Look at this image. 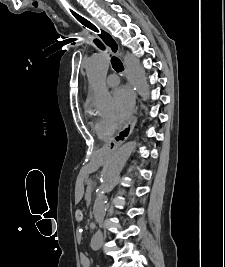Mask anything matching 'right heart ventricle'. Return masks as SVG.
<instances>
[{"instance_id": "right-heart-ventricle-1", "label": "right heart ventricle", "mask_w": 225, "mask_h": 267, "mask_svg": "<svg viewBox=\"0 0 225 267\" xmlns=\"http://www.w3.org/2000/svg\"><path fill=\"white\" fill-rule=\"evenodd\" d=\"M94 128L96 133L102 137V138H108L110 135H107L106 133L103 132L101 125H100V120H97L94 124Z\"/></svg>"}]
</instances>
